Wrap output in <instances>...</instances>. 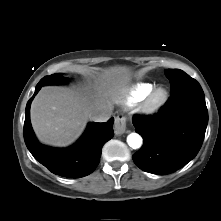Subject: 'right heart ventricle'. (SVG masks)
Masks as SVG:
<instances>
[{"label": "right heart ventricle", "instance_id": "right-heart-ventricle-1", "mask_svg": "<svg viewBox=\"0 0 221 221\" xmlns=\"http://www.w3.org/2000/svg\"><path fill=\"white\" fill-rule=\"evenodd\" d=\"M154 89V84L149 82H138L132 86L127 96L128 104H135L144 100Z\"/></svg>", "mask_w": 221, "mask_h": 221}]
</instances>
